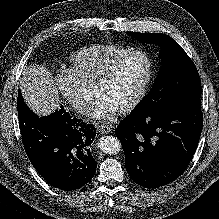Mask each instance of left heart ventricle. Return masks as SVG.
I'll return each instance as SVG.
<instances>
[{
    "instance_id": "obj_1",
    "label": "left heart ventricle",
    "mask_w": 219,
    "mask_h": 219,
    "mask_svg": "<svg viewBox=\"0 0 219 219\" xmlns=\"http://www.w3.org/2000/svg\"><path fill=\"white\" fill-rule=\"evenodd\" d=\"M146 72L147 61L144 57L140 55L130 57L123 62L109 81L96 85V94L107 97L120 109L137 94Z\"/></svg>"
}]
</instances>
